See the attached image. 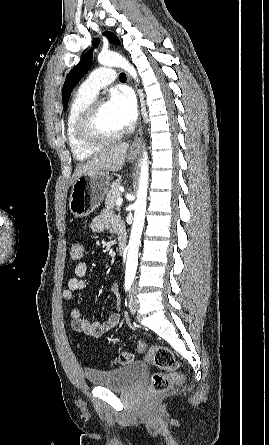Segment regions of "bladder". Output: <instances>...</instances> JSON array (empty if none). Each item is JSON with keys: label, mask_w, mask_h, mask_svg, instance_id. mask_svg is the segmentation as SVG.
Returning a JSON list of instances; mask_svg holds the SVG:
<instances>
[{"label": "bladder", "mask_w": 269, "mask_h": 445, "mask_svg": "<svg viewBox=\"0 0 269 445\" xmlns=\"http://www.w3.org/2000/svg\"><path fill=\"white\" fill-rule=\"evenodd\" d=\"M147 371L148 367L144 362L136 361L116 369L86 368L84 376L92 386L124 391L137 384Z\"/></svg>", "instance_id": "bladder-1"}]
</instances>
